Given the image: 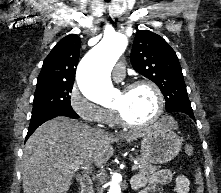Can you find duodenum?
<instances>
[{"label":"duodenum","instance_id":"410a0bca","mask_svg":"<svg viewBox=\"0 0 221 193\" xmlns=\"http://www.w3.org/2000/svg\"><path fill=\"white\" fill-rule=\"evenodd\" d=\"M81 193H91V178L88 174H84L80 178Z\"/></svg>","mask_w":221,"mask_h":193}]
</instances>
